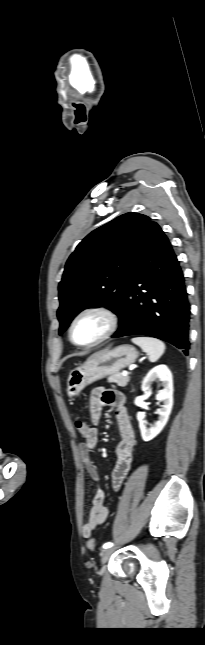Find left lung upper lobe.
I'll return each instance as SVG.
<instances>
[{
	"mask_svg": "<svg viewBox=\"0 0 205 645\" xmlns=\"http://www.w3.org/2000/svg\"><path fill=\"white\" fill-rule=\"evenodd\" d=\"M151 220L126 213L92 231L69 257L59 283V334L83 309L102 305L120 317L129 270Z\"/></svg>",
	"mask_w": 205,
	"mask_h": 645,
	"instance_id": "5c2ea615",
	"label": "left lung upper lobe"
}]
</instances>
